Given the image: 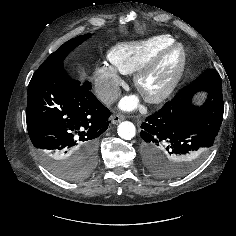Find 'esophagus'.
Listing matches in <instances>:
<instances>
[{"label": "esophagus", "instance_id": "1", "mask_svg": "<svg viewBox=\"0 0 236 236\" xmlns=\"http://www.w3.org/2000/svg\"><path fill=\"white\" fill-rule=\"evenodd\" d=\"M122 120H124V116L120 114H116L111 117L112 124H117L121 122Z\"/></svg>", "mask_w": 236, "mask_h": 236}]
</instances>
